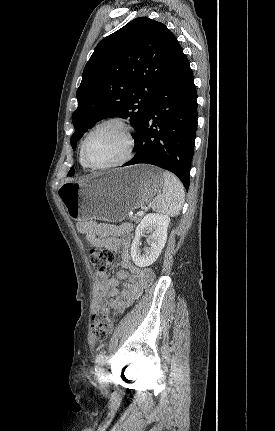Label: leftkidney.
<instances>
[{
  "label": "left kidney",
  "mask_w": 275,
  "mask_h": 431,
  "mask_svg": "<svg viewBox=\"0 0 275 431\" xmlns=\"http://www.w3.org/2000/svg\"><path fill=\"white\" fill-rule=\"evenodd\" d=\"M170 218L164 214L149 213L141 220L135 231V238L131 245V257L133 262L139 267H146L153 264L159 257L167 240V229ZM150 232V247L140 251V238L143 233Z\"/></svg>",
  "instance_id": "5707ae66"
}]
</instances>
